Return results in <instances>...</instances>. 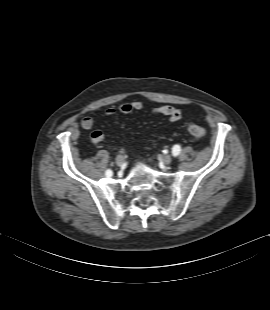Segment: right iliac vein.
Masks as SVG:
<instances>
[{
    "mask_svg": "<svg viewBox=\"0 0 270 310\" xmlns=\"http://www.w3.org/2000/svg\"><path fill=\"white\" fill-rule=\"evenodd\" d=\"M123 163H124V156L118 155V156L116 157V164H117L118 166H121Z\"/></svg>",
    "mask_w": 270,
    "mask_h": 310,
    "instance_id": "63e3f726",
    "label": "right iliac vein"
}]
</instances>
